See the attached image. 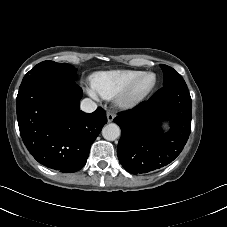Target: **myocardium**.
<instances>
[{"mask_svg":"<svg viewBox=\"0 0 227 227\" xmlns=\"http://www.w3.org/2000/svg\"><path fill=\"white\" fill-rule=\"evenodd\" d=\"M152 77L151 83L142 90H138L140 82L146 77ZM157 77L154 72H142L133 82L117 96L120 106L130 108L142 102L154 89Z\"/></svg>","mask_w":227,"mask_h":227,"instance_id":"myocardium-1","label":"myocardium"}]
</instances>
